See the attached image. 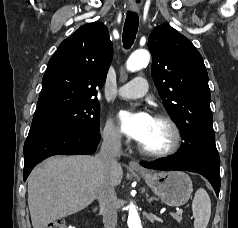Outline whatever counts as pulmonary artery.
Wrapping results in <instances>:
<instances>
[{"instance_id":"obj_1","label":"pulmonary artery","mask_w":238,"mask_h":228,"mask_svg":"<svg viewBox=\"0 0 238 228\" xmlns=\"http://www.w3.org/2000/svg\"><path fill=\"white\" fill-rule=\"evenodd\" d=\"M148 83L144 77H135L127 84L117 90L118 96L122 98H140L147 92Z\"/></svg>"}]
</instances>
